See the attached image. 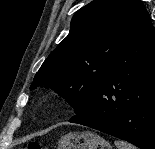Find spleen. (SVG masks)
Returning <instances> with one entry per match:
<instances>
[{
    "label": "spleen",
    "mask_w": 155,
    "mask_h": 149,
    "mask_svg": "<svg viewBox=\"0 0 155 149\" xmlns=\"http://www.w3.org/2000/svg\"><path fill=\"white\" fill-rule=\"evenodd\" d=\"M115 145L117 149H137L135 146L131 145L130 143H127L125 141H120V140L115 141Z\"/></svg>",
    "instance_id": "obj_1"
}]
</instances>
